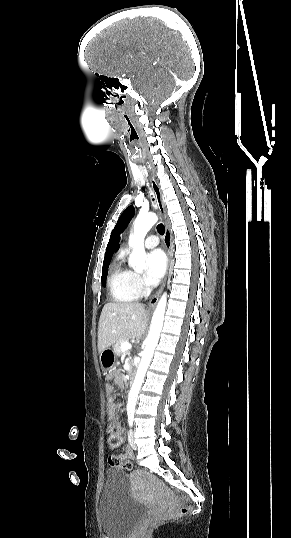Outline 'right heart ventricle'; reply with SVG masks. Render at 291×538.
Here are the masks:
<instances>
[{
  "instance_id": "1",
  "label": "right heart ventricle",
  "mask_w": 291,
  "mask_h": 538,
  "mask_svg": "<svg viewBox=\"0 0 291 538\" xmlns=\"http://www.w3.org/2000/svg\"><path fill=\"white\" fill-rule=\"evenodd\" d=\"M108 286L115 302H133L139 297L140 290L136 284L135 273L126 266L124 253L119 254L111 265Z\"/></svg>"
}]
</instances>
